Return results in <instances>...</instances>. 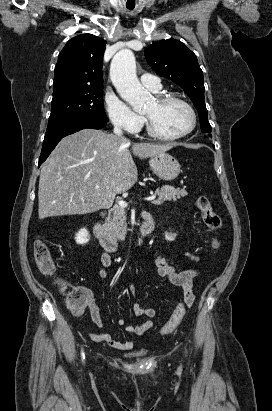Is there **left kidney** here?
<instances>
[{
    "instance_id": "5707ae66",
    "label": "left kidney",
    "mask_w": 272,
    "mask_h": 411,
    "mask_svg": "<svg viewBox=\"0 0 272 411\" xmlns=\"http://www.w3.org/2000/svg\"><path fill=\"white\" fill-rule=\"evenodd\" d=\"M165 238L169 241L174 240V235L173 234H168L166 233Z\"/></svg>"
}]
</instances>
